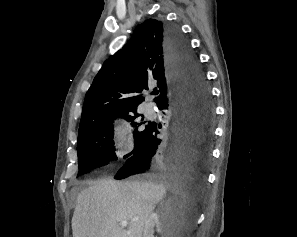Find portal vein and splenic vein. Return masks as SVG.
Returning a JSON list of instances; mask_svg holds the SVG:
<instances>
[{
    "mask_svg": "<svg viewBox=\"0 0 297 237\" xmlns=\"http://www.w3.org/2000/svg\"><path fill=\"white\" fill-rule=\"evenodd\" d=\"M138 220V218H135V219H133V221H137ZM128 225V222L127 221H122L121 223H120V226L121 227H126Z\"/></svg>",
    "mask_w": 297,
    "mask_h": 237,
    "instance_id": "18ae733b",
    "label": "portal vein and splenic vein"
}]
</instances>
